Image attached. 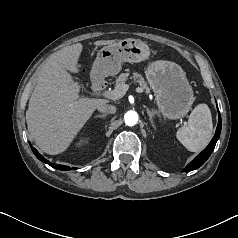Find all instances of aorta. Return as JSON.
<instances>
[{
  "mask_svg": "<svg viewBox=\"0 0 238 238\" xmlns=\"http://www.w3.org/2000/svg\"><path fill=\"white\" fill-rule=\"evenodd\" d=\"M125 124L128 126H134L138 122V114L136 111L129 110L124 115Z\"/></svg>",
  "mask_w": 238,
  "mask_h": 238,
  "instance_id": "1",
  "label": "aorta"
}]
</instances>
